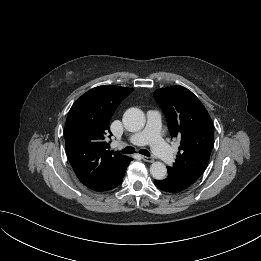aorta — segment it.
Instances as JSON below:
<instances>
[{"mask_svg": "<svg viewBox=\"0 0 261 261\" xmlns=\"http://www.w3.org/2000/svg\"><path fill=\"white\" fill-rule=\"evenodd\" d=\"M146 123L144 112L139 108H129L123 115V124L131 132L141 130ZM150 173L154 179L163 180L167 174V168L162 162H153Z\"/></svg>", "mask_w": 261, "mask_h": 261, "instance_id": "1", "label": "aorta"}]
</instances>
